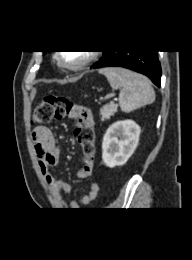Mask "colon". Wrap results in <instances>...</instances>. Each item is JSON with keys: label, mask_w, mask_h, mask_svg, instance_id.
<instances>
[{"label": "colon", "mask_w": 192, "mask_h": 260, "mask_svg": "<svg viewBox=\"0 0 192 260\" xmlns=\"http://www.w3.org/2000/svg\"><path fill=\"white\" fill-rule=\"evenodd\" d=\"M54 118H75L78 121L75 135L83 148V163L93 161L95 131L90 121V110L66 97L46 96L34 109L32 123L41 125Z\"/></svg>", "instance_id": "1"}]
</instances>
